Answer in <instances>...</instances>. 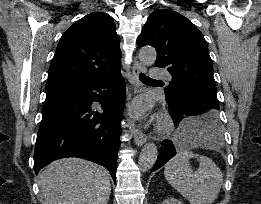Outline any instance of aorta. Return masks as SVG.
I'll use <instances>...</instances> for the list:
<instances>
[{
    "instance_id": "aorta-1",
    "label": "aorta",
    "mask_w": 261,
    "mask_h": 204,
    "mask_svg": "<svg viewBox=\"0 0 261 204\" xmlns=\"http://www.w3.org/2000/svg\"><path fill=\"white\" fill-rule=\"evenodd\" d=\"M156 50L153 47L146 46L139 51V60L143 66H151L156 61ZM158 156L157 146L154 143H147L139 156V167L142 171L150 170L155 164Z\"/></svg>"
}]
</instances>
